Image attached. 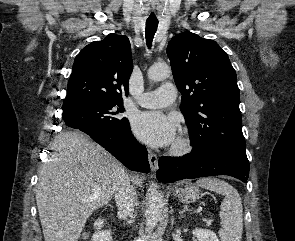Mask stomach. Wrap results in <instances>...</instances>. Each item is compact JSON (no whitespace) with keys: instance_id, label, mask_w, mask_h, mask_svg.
<instances>
[{"instance_id":"obj_1","label":"stomach","mask_w":295,"mask_h":241,"mask_svg":"<svg viewBox=\"0 0 295 241\" xmlns=\"http://www.w3.org/2000/svg\"><path fill=\"white\" fill-rule=\"evenodd\" d=\"M174 194L184 203H192L200 198L199 188L191 182H182L174 188Z\"/></svg>"}]
</instances>
